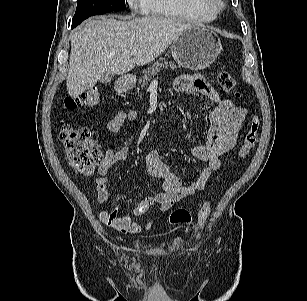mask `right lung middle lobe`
Segmentation results:
<instances>
[{"mask_svg": "<svg viewBox=\"0 0 307 301\" xmlns=\"http://www.w3.org/2000/svg\"><path fill=\"white\" fill-rule=\"evenodd\" d=\"M125 7V0H77V9L72 24L79 25L90 16L120 11Z\"/></svg>", "mask_w": 307, "mask_h": 301, "instance_id": "1", "label": "right lung middle lobe"}]
</instances>
